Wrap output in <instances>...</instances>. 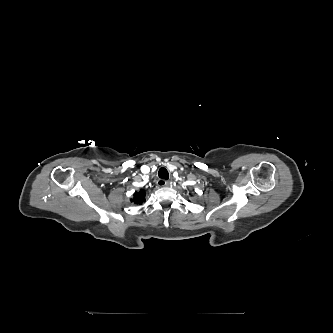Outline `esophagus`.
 Segmentation results:
<instances>
[{
	"label": "esophagus",
	"mask_w": 333,
	"mask_h": 333,
	"mask_svg": "<svg viewBox=\"0 0 333 333\" xmlns=\"http://www.w3.org/2000/svg\"><path fill=\"white\" fill-rule=\"evenodd\" d=\"M157 185L159 187H165V186H169V181L165 180V179H158L157 180Z\"/></svg>",
	"instance_id": "34e87169"
}]
</instances>
